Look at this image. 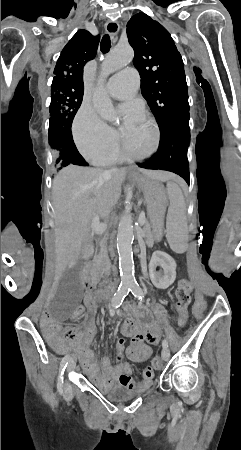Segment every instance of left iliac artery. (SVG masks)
<instances>
[{"mask_svg": "<svg viewBox=\"0 0 241 450\" xmlns=\"http://www.w3.org/2000/svg\"><path fill=\"white\" fill-rule=\"evenodd\" d=\"M130 291H131V293H132L135 297H137L139 300H142V298L144 297V296H143V291H142V289L140 288L139 285H132V286L130 287ZM162 346H163V348L168 347V342H167L166 339H164V340L162 341Z\"/></svg>", "mask_w": 241, "mask_h": 450, "instance_id": "1", "label": "left iliac artery"}]
</instances>
